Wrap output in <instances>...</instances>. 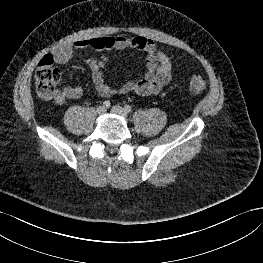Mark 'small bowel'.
<instances>
[{
  "mask_svg": "<svg viewBox=\"0 0 263 263\" xmlns=\"http://www.w3.org/2000/svg\"><path fill=\"white\" fill-rule=\"evenodd\" d=\"M91 48L96 51H111L135 49L145 54L146 73L141 79L127 80L120 87L110 86L105 81L104 67L108 62V57H89L86 64L91 70L92 81L97 93L102 97H111L115 94L136 93L142 96L156 95L161 92L172 77V58L158 48L156 43L150 38L143 36H103L91 39H80L73 43H65L52 50V58L58 64L68 62L75 49ZM81 86H66L58 90L54 100L63 103L69 99H78L82 96Z\"/></svg>",
  "mask_w": 263,
  "mask_h": 263,
  "instance_id": "1",
  "label": "small bowel"
}]
</instances>
